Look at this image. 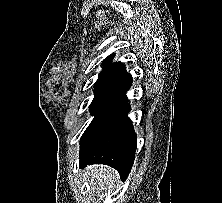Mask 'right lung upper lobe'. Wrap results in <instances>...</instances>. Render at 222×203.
<instances>
[{"label":"right lung upper lobe","instance_id":"right-lung-upper-lobe-1","mask_svg":"<svg viewBox=\"0 0 222 203\" xmlns=\"http://www.w3.org/2000/svg\"><path fill=\"white\" fill-rule=\"evenodd\" d=\"M113 57L114 54L103 61V65L106 66L94 84V91L116 95L132 82V76L126 72L124 64L121 62L112 63Z\"/></svg>","mask_w":222,"mask_h":203}]
</instances>
